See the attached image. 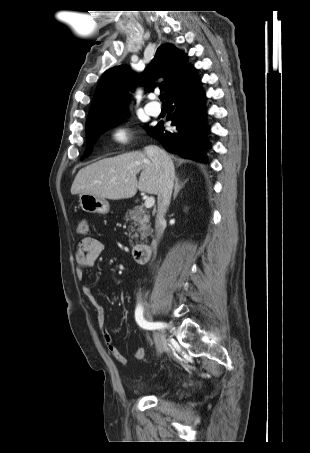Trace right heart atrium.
I'll list each match as a JSON object with an SVG mask.
<instances>
[{"mask_svg": "<svg viewBox=\"0 0 310 453\" xmlns=\"http://www.w3.org/2000/svg\"><path fill=\"white\" fill-rule=\"evenodd\" d=\"M131 133L130 130L126 127H118L116 128L111 135L112 140L120 145H124L128 143L130 140Z\"/></svg>", "mask_w": 310, "mask_h": 453, "instance_id": "right-heart-atrium-1", "label": "right heart atrium"}]
</instances>
